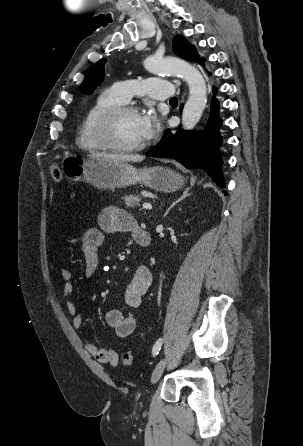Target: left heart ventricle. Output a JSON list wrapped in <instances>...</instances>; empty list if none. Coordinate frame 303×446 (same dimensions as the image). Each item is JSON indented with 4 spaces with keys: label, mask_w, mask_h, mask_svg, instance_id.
Wrapping results in <instances>:
<instances>
[{
    "label": "left heart ventricle",
    "mask_w": 303,
    "mask_h": 446,
    "mask_svg": "<svg viewBox=\"0 0 303 446\" xmlns=\"http://www.w3.org/2000/svg\"><path fill=\"white\" fill-rule=\"evenodd\" d=\"M113 140L123 146L134 145L143 142L139 127L138 113H125L118 117L114 123Z\"/></svg>",
    "instance_id": "obj_1"
}]
</instances>
